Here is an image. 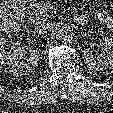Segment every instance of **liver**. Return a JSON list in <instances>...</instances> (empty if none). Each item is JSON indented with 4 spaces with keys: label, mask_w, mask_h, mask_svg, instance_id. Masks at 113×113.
<instances>
[{
    "label": "liver",
    "mask_w": 113,
    "mask_h": 113,
    "mask_svg": "<svg viewBox=\"0 0 113 113\" xmlns=\"http://www.w3.org/2000/svg\"><path fill=\"white\" fill-rule=\"evenodd\" d=\"M8 29V22L2 16V10L0 8V36H2V32ZM5 43L4 38L0 39V70L5 60L9 58V52H6L3 44Z\"/></svg>",
    "instance_id": "6515ba94"
}]
</instances>
